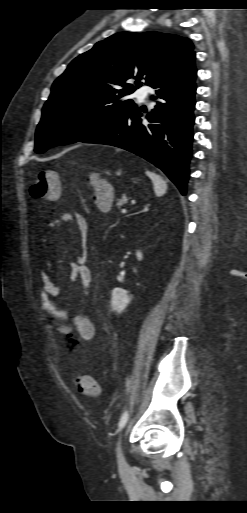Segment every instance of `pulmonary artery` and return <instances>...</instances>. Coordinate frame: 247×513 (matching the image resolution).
<instances>
[{
  "instance_id": "pulmonary-artery-1",
  "label": "pulmonary artery",
  "mask_w": 247,
  "mask_h": 513,
  "mask_svg": "<svg viewBox=\"0 0 247 513\" xmlns=\"http://www.w3.org/2000/svg\"><path fill=\"white\" fill-rule=\"evenodd\" d=\"M148 93H149V88L147 86H141L135 92V94L139 100H144L145 97L148 95Z\"/></svg>"
}]
</instances>
